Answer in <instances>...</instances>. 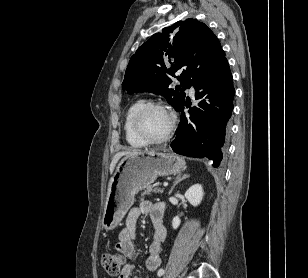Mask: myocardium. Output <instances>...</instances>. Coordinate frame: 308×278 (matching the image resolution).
<instances>
[{"mask_svg": "<svg viewBox=\"0 0 308 278\" xmlns=\"http://www.w3.org/2000/svg\"><path fill=\"white\" fill-rule=\"evenodd\" d=\"M151 109H161L167 112L169 115L170 125L167 132L162 137L153 138L150 135H148L143 129L142 118ZM132 127L136 135L147 144H161L168 141L171 138L175 129V120L170 110L164 104L159 102H148L144 103L133 114Z\"/></svg>", "mask_w": 308, "mask_h": 278, "instance_id": "myocardium-1", "label": "myocardium"}]
</instances>
